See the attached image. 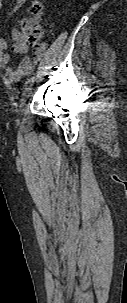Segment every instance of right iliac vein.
Segmentation results:
<instances>
[{
    "mask_svg": "<svg viewBox=\"0 0 127 303\" xmlns=\"http://www.w3.org/2000/svg\"><path fill=\"white\" fill-rule=\"evenodd\" d=\"M31 90H32V86H30L28 89H26V92L24 93L23 101H25V98L29 96Z\"/></svg>",
    "mask_w": 127,
    "mask_h": 303,
    "instance_id": "1",
    "label": "right iliac vein"
}]
</instances>
